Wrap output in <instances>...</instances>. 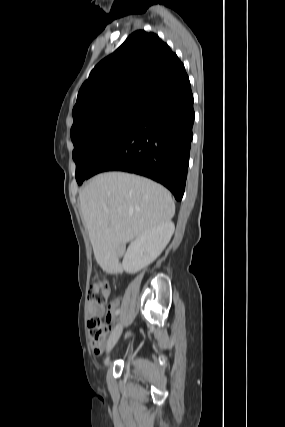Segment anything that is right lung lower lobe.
<instances>
[{
	"mask_svg": "<svg viewBox=\"0 0 285 427\" xmlns=\"http://www.w3.org/2000/svg\"><path fill=\"white\" fill-rule=\"evenodd\" d=\"M193 123V95L185 72L151 94L131 128L86 179L104 171L135 173L163 184L180 201Z\"/></svg>",
	"mask_w": 285,
	"mask_h": 427,
	"instance_id": "obj_1",
	"label": "right lung lower lobe"
}]
</instances>
